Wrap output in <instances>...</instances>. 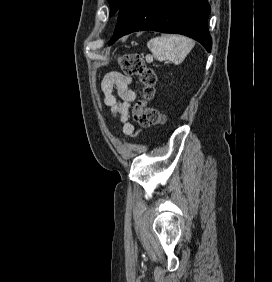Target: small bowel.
<instances>
[{
    "instance_id": "c3829d8e",
    "label": "small bowel",
    "mask_w": 272,
    "mask_h": 282,
    "mask_svg": "<svg viewBox=\"0 0 272 282\" xmlns=\"http://www.w3.org/2000/svg\"><path fill=\"white\" fill-rule=\"evenodd\" d=\"M131 85V77L114 71L106 74L101 83L104 102L110 107L112 116L122 124L123 134L128 137L136 133L134 125L129 121L130 105L136 98V91Z\"/></svg>"
}]
</instances>
